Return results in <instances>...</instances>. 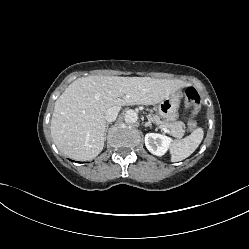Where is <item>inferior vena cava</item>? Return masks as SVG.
Wrapping results in <instances>:
<instances>
[{
	"label": "inferior vena cava",
	"mask_w": 249,
	"mask_h": 249,
	"mask_svg": "<svg viewBox=\"0 0 249 249\" xmlns=\"http://www.w3.org/2000/svg\"><path fill=\"white\" fill-rule=\"evenodd\" d=\"M120 109H121L120 106H114V107L109 108L105 114L106 121H108V122L115 121Z\"/></svg>",
	"instance_id": "obj_1"
}]
</instances>
